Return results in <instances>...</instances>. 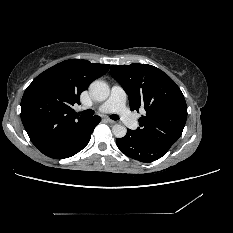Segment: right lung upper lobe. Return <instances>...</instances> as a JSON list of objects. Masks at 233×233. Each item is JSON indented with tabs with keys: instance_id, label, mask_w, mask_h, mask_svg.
<instances>
[{
	"instance_id": "1",
	"label": "right lung upper lobe",
	"mask_w": 233,
	"mask_h": 233,
	"mask_svg": "<svg viewBox=\"0 0 233 233\" xmlns=\"http://www.w3.org/2000/svg\"><path fill=\"white\" fill-rule=\"evenodd\" d=\"M110 65L70 59L38 75L21 100V119L32 143L40 151L63 140L86 118L73 111L80 94L104 75Z\"/></svg>"
}]
</instances>
